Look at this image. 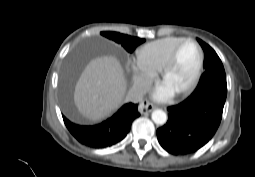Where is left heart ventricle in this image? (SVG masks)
Wrapping results in <instances>:
<instances>
[{
    "label": "left heart ventricle",
    "instance_id": "b2bd125f",
    "mask_svg": "<svg viewBox=\"0 0 255 177\" xmlns=\"http://www.w3.org/2000/svg\"><path fill=\"white\" fill-rule=\"evenodd\" d=\"M199 62V53L196 47L185 44L179 54L175 66L169 72L164 83L174 91H178L186 86L194 77Z\"/></svg>",
    "mask_w": 255,
    "mask_h": 177
}]
</instances>
